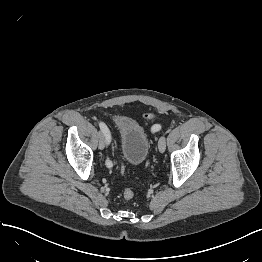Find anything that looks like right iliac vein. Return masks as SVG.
Segmentation results:
<instances>
[{
  "label": "right iliac vein",
  "instance_id": "1",
  "mask_svg": "<svg viewBox=\"0 0 262 262\" xmlns=\"http://www.w3.org/2000/svg\"><path fill=\"white\" fill-rule=\"evenodd\" d=\"M105 136L103 133L99 134V143H98V147L100 150H103L105 148Z\"/></svg>",
  "mask_w": 262,
  "mask_h": 262
}]
</instances>
